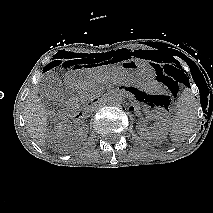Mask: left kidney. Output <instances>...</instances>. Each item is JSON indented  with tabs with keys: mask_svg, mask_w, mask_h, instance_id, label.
<instances>
[{
	"mask_svg": "<svg viewBox=\"0 0 213 213\" xmlns=\"http://www.w3.org/2000/svg\"><path fill=\"white\" fill-rule=\"evenodd\" d=\"M153 117L157 120L156 125L150 129L144 121L138 123V133L141 137L148 139H163L168 133V116L163 110H156Z\"/></svg>",
	"mask_w": 213,
	"mask_h": 213,
	"instance_id": "1",
	"label": "left kidney"
}]
</instances>
